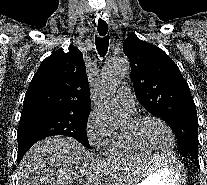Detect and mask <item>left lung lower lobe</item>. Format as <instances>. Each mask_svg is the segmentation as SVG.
Returning <instances> with one entry per match:
<instances>
[{"instance_id":"left-lung-lower-lobe-1","label":"left lung lower lobe","mask_w":207,"mask_h":185,"mask_svg":"<svg viewBox=\"0 0 207 185\" xmlns=\"http://www.w3.org/2000/svg\"><path fill=\"white\" fill-rule=\"evenodd\" d=\"M188 158L199 167L198 155H190Z\"/></svg>"}]
</instances>
